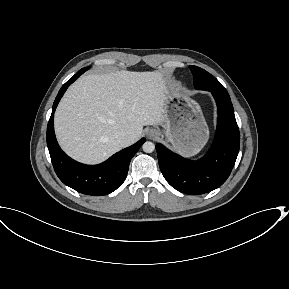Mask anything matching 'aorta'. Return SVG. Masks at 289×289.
I'll list each match as a JSON object with an SVG mask.
<instances>
[{"mask_svg": "<svg viewBox=\"0 0 289 289\" xmlns=\"http://www.w3.org/2000/svg\"><path fill=\"white\" fill-rule=\"evenodd\" d=\"M142 149L144 152L146 153H151L155 150V145L154 143L150 142V141H146L143 145H142Z\"/></svg>", "mask_w": 289, "mask_h": 289, "instance_id": "762f6f07", "label": "aorta"}]
</instances>
